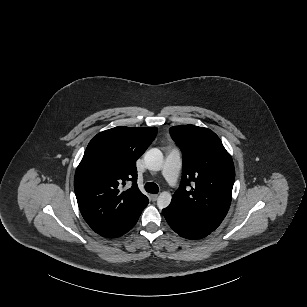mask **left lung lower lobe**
I'll use <instances>...</instances> for the list:
<instances>
[{
	"mask_svg": "<svg viewBox=\"0 0 307 307\" xmlns=\"http://www.w3.org/2000/svg\"><path fill=\"white\" fill-rule=\"evenodd\" d=\"M162 213L170 227L184 238L200 239L213 231L186 216L174 203H171L167 208L163 209Z\"/></svg>",
	"mask_w": 307,
	"mask_h": 307,
	"instance_id": "left-lung-lower-lobe-1",
	"label": "left lung lower lobe"
}]
</instances>
